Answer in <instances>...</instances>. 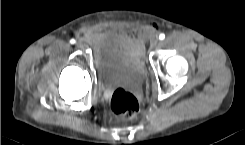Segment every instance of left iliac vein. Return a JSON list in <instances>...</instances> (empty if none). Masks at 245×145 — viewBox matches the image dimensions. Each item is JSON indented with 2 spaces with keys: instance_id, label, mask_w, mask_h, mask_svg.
Listing matches in <instances>:
<instances>
[{
  "instance_id": "1",
  "label": "left iliac vein",
  "mask_w": 245,
  "mask_h": 145,
  "mask_svg": "<svg viewBox=\"0 0 245 145\" xmlns=\"http://www.w3.org/2000/svg\"><path fill=\"white\" fill-rule=\"evenodd\" d=\"M159 43H160V41H159V39H158L157 36H153V37L151 38V40H150V45H151V47H156V46L159 45Z\"/></svg>"
}]
</instances>
